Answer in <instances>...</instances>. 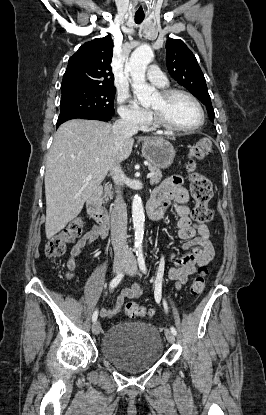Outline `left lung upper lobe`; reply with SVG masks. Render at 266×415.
<instances>
[{
  "instance_id": "5c2ea615",
  "label": "left lung upper lobe",
  "mask_w": 266,
  "mask_h": 415,
  "mask_svg": "<svg viewBox=\"0 0 266 415\" xmlns=\"http://www.w3.org/2000/svg\"><path fill=\"white\" fill-rule=\"evenodd\" d=\"M166 61L171 76L206 106L209 118L213 121L215 114L204 75L196 57L182 40H167Z\"/></svg>"
}]
</instances>
